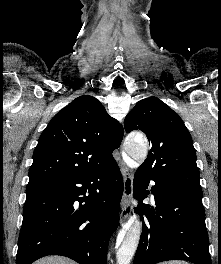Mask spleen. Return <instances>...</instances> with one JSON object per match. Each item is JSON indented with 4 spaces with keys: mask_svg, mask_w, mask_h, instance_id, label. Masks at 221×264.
<instances>
[{
    "mask_svg": "<svg viewBox=\"0 0 221 264\" xmlns=\"http://www.w3.org/2000/svg\"><path fill=\"white\" fill-rule=\"evenodd\" d=\"M160 264H188L187 262L185 261H169V262H163V263H160Z\"/></svg>",
    "mask_w": 221,
    "mask_h": 264,
    "instance_id": "obj_1",
    "label": "spleen"
}]
</instances>
